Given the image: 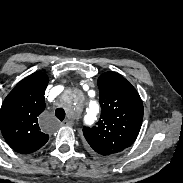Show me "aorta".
Masks as SVG:
<instances>
[{
    "label": "aorta",
    "mask_w": 183,
    "mask_h": 183,
    "mask_svg": "<svg viewBox=\"0 0 183 183\" xmlns=\"http://www.w3.org/2000/svg\"><path fill=\"white\" fill-rule=\"evenodd\" d=\"M99 112V106L96 102H90L87 108V114L84 117L86 122H92L96 119V115Z\"/></svg>",
    "instance_id": "aorta-1"
}]
</instances>
